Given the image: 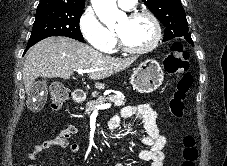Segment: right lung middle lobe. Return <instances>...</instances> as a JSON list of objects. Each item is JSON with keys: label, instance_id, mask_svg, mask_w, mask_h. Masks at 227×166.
I'll list each match as a JSON object with an SVG mask.
<instances>
[{"label": "right lung middle lobe", "instance_id": "dd1d6c3e", "mask_svg": "<svg viewBox=\"0 0 227 166\" xmlns=\"http://www.w3.org/2000/svg\"><path fill=\"white\" fill-rule=\"evenodd\" d=\"M83 8L67 6L38 7L28 45L51 36H66L80 42L84 38L80 32L79 20Z\"/></svg>", "mask_w": 227, "mask_h": 166}]
</instances>
